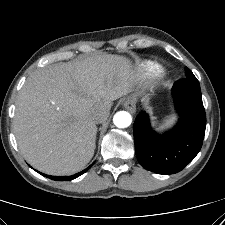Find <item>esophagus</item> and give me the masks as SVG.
<instances>
[{
    "label": "esophagus",
    "instance_id": "esophagus-1",
    "mask_svg": "<svg viewBox=\"0 0 225 225\" xmlns=\"http://www.w3.org/2000/svg\"><path fill=\"white\" fill-rule=\"evenodd\" d=\"M124 107L132 114H134L136 112V104L132 99H127L124 102Z\"/></svg>",
    "mask_w": 225,
    "mask_h": 225
}]
</instances>
